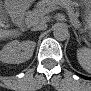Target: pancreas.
Returning <instances> with one entry per match:
<instances>
[{
	"instance_id": "1",
	"label": "pancreas",
	"mask_w": 91,
	"mask_h": 91,
	"mask_svg": "<svg viewBox=\"0 0 91 91\" xmlns=\"http://www.w3.org/2000/svg\"><path fill=\"white\" fill-rule=\"evenodd\" d=\"M58 5L67 9L71 21L73 22V24L79 27L80 24L78 22L77 15L73 13V10L70 6L71 4L67 1L42 0L37 3L36 8L29 14L33 17V19L40 20L43 19L44 16L48 14L50 11L56 9Z\"/></svg>"
}]
</instances>
